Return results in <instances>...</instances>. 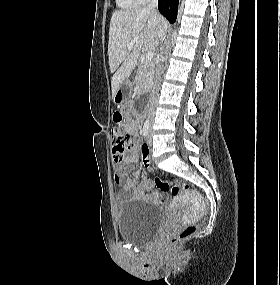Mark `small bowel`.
Here are the masks:
<instances>
[{
	"instance_id": "obj_1",
	"label": "small bowel",
	"mask_w": 280,
	"mask_h": 285,
	"mask_svg": "<svg viewBox=\"0 0 280 285\" xmlns=\"http://www.w3.org/2000/svg\"><path fill=\"white\" fill-rule=\"evenodd\" d=\"M139 120L140 118L135 116L132 121H129L125 125L126 131L134 138H138L140 135ZM140 149L143 151L145 149H148V147L146 144H144L141 148L140 142L138 140H135L129 154L123 157V159L117 163V171L114 179L117 184L122 186V190L119 194V199L124 202L129 198H134L150 201L156 204H163L166 201V197L162 196L157 191L148 193V191L153 187V183L150 180L139 182L138 171H134L131 176H128L125 171L126 165L133 164L138 161ZM142 163L143 167L147 170L152 169V165L149 159L143 160Z\"/></svg>"
}]
</instances>
